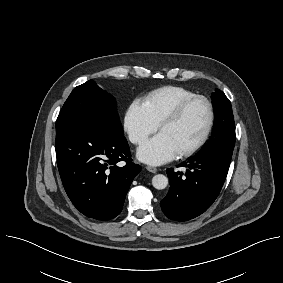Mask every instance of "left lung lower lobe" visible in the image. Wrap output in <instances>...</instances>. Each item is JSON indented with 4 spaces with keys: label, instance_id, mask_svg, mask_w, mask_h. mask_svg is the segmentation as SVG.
<instances>
[{
    "label": "left lung lower lobe",
    "instance_id": "0a47b994",
    "mask_svg": "<svg viewBox=\"0 0 283 283\" xmlns=\"http://www.w3.org/2000/svg\"><path fill=\"white\" fill-rule=\"evenodd\" d=\"M230 161L217 153H197L180 165L187 168L185 174L167 169L169 193L160 202L164 214L186 221L205 212L221 191Z\"/></svg>",
    "mask_w": 283,
    "mask_h": 283
}]
</instances>
